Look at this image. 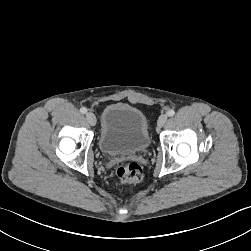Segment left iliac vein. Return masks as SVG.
<instances>
[{"label": "left iliac vein", "mask_w": 251, "mask_h": 251, "mask_svg": "<svg viewBox=\"0 0 251 251\" xmlns=\"http://www.w3.org/2000/svg\"><path fill=\"white\" fill-rule=\"evenodd\" d=\"M167 122V115L163 114L159 117L158 121H157V125L158 127H163L165 125V123Z\"/></svg>", "instance_id": "obj_1"}]
</instances>
